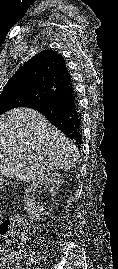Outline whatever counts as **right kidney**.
I'll use <instances>...</instances> for the list:
<instances>
[{"mask_svg":"<svg viewBox=\"0 0 118 269\" xmlns=\"http://www.w3.org/2000/svg\"><path fill=\"white\" fill-rule=\"evenodd\" d=\"M63 182V178L58 173H47L32 182L30 186H28L25 190V208L30 218L34 221H39L40 216L42 215L43 208L36 206V201L34 198L35 190L41 185L49 186V194L51 196H55L59 190L60 185Z\"/></svg>","mask_w":118,"mask_h":269,"instance_id":"1","label":"right kidney"}]
</instances>
